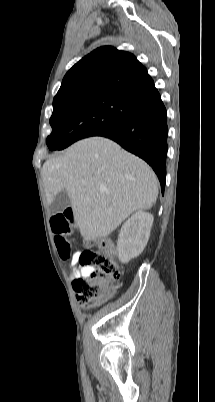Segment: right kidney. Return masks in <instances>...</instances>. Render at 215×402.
I'll return each mask as SVG.
<instances>
[{
    "mask_svg": "<svg viewBox=\"0 0 215 402\" xmlns=\"http://www.w3.org/2000/svg\"><path fill=\"white\" fill-rule=\"evenodd\" d=\"M153 219L152 214L138 211L123 224L117 241L122 263H128L142 253L149 240Z\"/></svg>",
    "mask_w": 215,
    "mask_h": 402,
    "instance_id": "ca27d5eb",
    "label": "right kidney"
}]
</instances>
